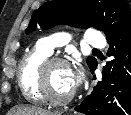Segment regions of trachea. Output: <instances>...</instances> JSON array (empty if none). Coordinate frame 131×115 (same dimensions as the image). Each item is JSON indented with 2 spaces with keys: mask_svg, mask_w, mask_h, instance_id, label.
I'll list each match as a JSON object with an SVG mask.
<instances>
[{
  "mask_svg": "<svg viewBox=\"0 0 131 115\" xmlns=\"http://www.w3.org/2000/svg\"><path fill=\"white\" fill-rule=\"evenodd\" d=\"M94 51H98V49L93 48Z\"/></svg>",
  "mask_w": 131,
  "mask_h": 115,
  "instance_id": "trachea-1",
  "label": "trachea"
}]
</instances>
